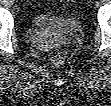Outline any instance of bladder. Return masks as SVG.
<instances>
[{"label": "bladder", "instance_id": "31cf9c89", "mask_svg": "<svg viewBox=\"0 0 111 106\" xmlns=\"http://www.w3.org/2000/svg\"><path fill=\"white\" fill-rule=\"evenodd\" d=\"M34 23L41 29L59 34L75 32L80 28V21L76 17H55L46 12L37 13Z\"/></svg>", "mask_w": 111, "mask_h": 106}]
</instances>
